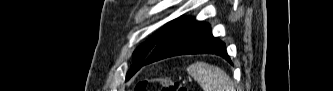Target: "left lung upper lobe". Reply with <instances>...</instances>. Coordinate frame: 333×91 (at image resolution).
Returning <instances> with one entry per match:
<instances>
[{
	"label": "left lung upper lobe",
	"instance_id": "5c2ea615",
	"mask_svg": "<svg viewBox=\"0 0 333 91\" xmlns=\"http://www.w3.org/2000/svg\"><path fill=\"white\" fill-rule=\"evenodd\" d=\"M177 20H173L165 24L157 33H155L148 41H146L144 44H142L140 47H138L134 53L133 56L135 58V63L132 69L128 72L126 75V79H129L132 77L140 68L142 63L145 61L147 56L150 54V52L154 49V47L157 45V43L161 40V38L165 35V33L172 27V25Z\"/></svg>",
	"mask_w": 333,
	"mask_h": 91
}]
</instances>
